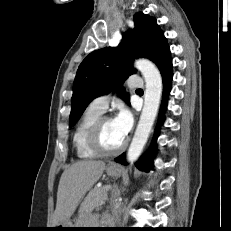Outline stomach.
I'll return each mask as SVG.
<instances>
[{"label": "stomach", "mask_w": 231, "mask_h": 231, "mask_svg": "<svg viewBox=\"0 0 231 231\" xmlns=\"http://www.w3.org/2000/svg\"><path fill=\"white\" fill-rule=\"evenodd\" d=\"M105 170H106L107 175L111 177H119L123 173V169L119 165L114 164V163L108 164ZM83 225H84L83 220L79 219L76 224H72L71 222L68 221L64 224H59L53 227L54 228L53 230L54 231H70V230H75L71 228H84L82 227Z\"/></svg>", "instance_id": "1"}]
</instances>
